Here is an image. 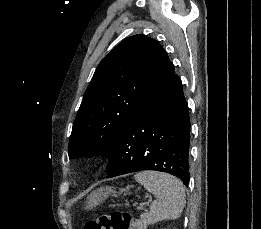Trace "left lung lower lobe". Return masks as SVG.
I'll list each match as a JSON object with an SVG mask.
<instances>
[{
	"label": "left lung lower lobe",
	"instance_id": "0a47b994",
	"mask_svg": "<svg viewBox=\"0 0 261 229\" xmlns=\"http://www.w3.org/2000/svg\"><path fill=\"white\" fill-rule=\"evenodd\" d=\"M190 120L181 80L175 73L155 89L129 121L109 156L107 178L157 170L187 186Z\"/></svg>",
	"mask_w": 261,
	"mask_h": 229
}]
</instances>
